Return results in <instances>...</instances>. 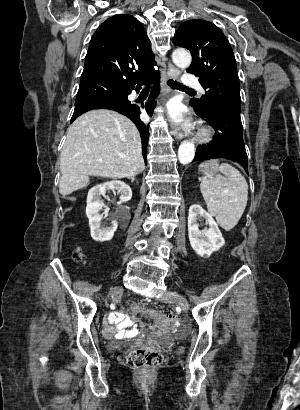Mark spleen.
Instances as JSON below:
<instances>
[{"label":"spleen","instance_id":"1","mask_svg":"<svg viewBox=\"0 0 300 410\" xmlns=\"http://www.w3.org/2000/svg\"><path fill=\"white\" fill-rule=\"evenodd\" d=\"M211 161L205 163L200 190L208 212L215 216L217 223L229 231L240 220L248 199V184L241 173L232 165L222 163L219 170L224 176L213 177L207 172Z\"/></svg>","mask_w":300,"mask_h":410}]
</instances>
